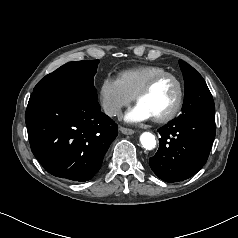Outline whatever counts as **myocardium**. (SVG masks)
I'll return each instance as SVG.
<instances>
[{
	"mask_svg": "<svg viewBox=\"0 0 238 238\" xmlns=\"http://www.w3.org/2000/svg\"><path fill=\"white\" fill-rule=\"evenodd\" d=\"M164 78H171L176 83L177 89H178V94H177V99H176V102H175L173 108L168 113H166L165 115H162V116L152 118L153 121H155L157 123H165V122L171 121L180 112L182 105H183V101H184V85H183L182 80L178 76H176L175 74L170 73V72L160 73V74H157V75L151 77L134 96V101L136 104H138L139 100L143 96H145L147 93H149L151 91V89L153 88V86L158 81H160L161 79H164Z\"/></svg>",
	"mask_w": 238,
	"mask_h": 238,
	"instance_id": "myocardium-1",
	"label": "myocardium"
}]
</instances>
